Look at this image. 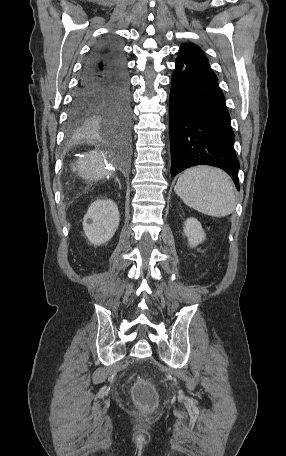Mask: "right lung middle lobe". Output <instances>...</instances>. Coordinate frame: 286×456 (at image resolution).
I'll return each mask as SVG.
<instances>
[{"instance_id":"dd1d6c3e","label":"right lung middle lobe","mask_w":286,"mask_h":456,"mask_svg":"<svg viewBox=\"0 0 286 456\" xmlns=\"http://www.w3.org/2000/svg\"><path fill=\"white\" fill-rule=\"evenodd\" d=\"M126 128H127L126 126L120 125V126L117 127V131H118V133L122 134V133L125 132ZM95 129L104 130V131H105V129L102 128V127H100V126L95 127ZM130 132H131V130H130ZM130 132H129V135H128L127 138H122V140H123L124 142H126V143L129 142V139H130Z\"/></svg>"}]
</instances>
